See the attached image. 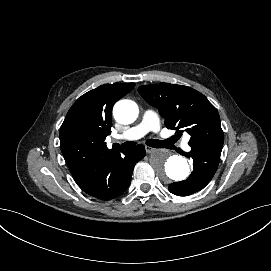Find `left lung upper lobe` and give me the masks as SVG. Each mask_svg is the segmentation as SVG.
I'll return each mask as SVG.
<instances>
[{
	"instance_id": "1",
	"label": "left lung upper lobe",
	"mask_w": 271,
	"mask_h": 271,
	"mask_svg": "<svg viewBox=\"0 0 271 271\" xmlns=\"http://www.w3.org/2000/svg\"><path fill=\"white\" fill-rule=\"evenodd\" d=\"M140 95L165 118L168 129L186 131L191 147L221 154L224 134L216 108L200 92L183 85L159 83L138 88Z\"/></svg>"
}]
</instances>
